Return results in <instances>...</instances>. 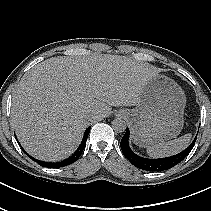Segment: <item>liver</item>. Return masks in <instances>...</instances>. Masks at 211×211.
I'll return each mask as SVG.
<instances>
[{"instance_id":"1","label":"liver","mask_w":211,"mask_h":211,"mask_svg":"<svg viewBox=\"0 0 211 211\" xmlns=\"http://www.w3.org/2000/svg\"><path fill=\"white\" fill-rule=\"evenodd\" d=\"M158 70L117 55L96 54L47 59L20 80L11 118L24 149L44 161L70 156L85 128L111 113V106H133Z\"/></svg>"}]
</instances>
